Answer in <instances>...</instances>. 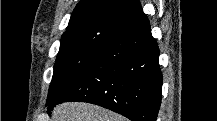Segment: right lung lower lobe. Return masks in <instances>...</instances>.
Wrapping results in <instances>:
<instances>
[{"label":"right lung lower lobe","mask_w":217,"mask_h":121,"mask_svg":"<svg viewBox=\"0 0 217 121\" xmlns=\"http://www.w3.org/2000/svg\"><path fill=\"white\" fill-rule=\"evenodd\" d=\"M159 48L144 13L128 22L83 72L46 105L82 101L132 121H156L161 104ZM50 112V111H48Z\"/></svg>","instance_id":"obj_1"}]
</instances>
